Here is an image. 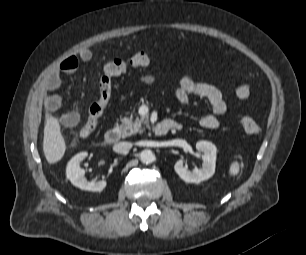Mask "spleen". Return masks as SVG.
I'll use <instances>...</instances> for the list:
<instances>
[{"mask_svg": "<svg viewBox=\"0 0 306 255\" xmlns=\"http://www.w3.org/2000/svg\"><path fill=\"white\" fill-rule=\"evenodd\" d=\"M238 172H239V164L237 161H234L230 165L229 173L230 175L235 176L238 174Z\"/></svg>", "mask_w": 306, "mask_h": 255, "instance_id": "spleen-1", "label": "spleen"}]
</instances>
